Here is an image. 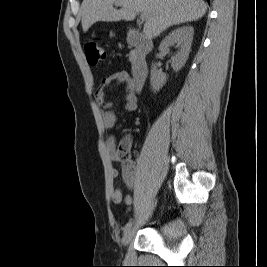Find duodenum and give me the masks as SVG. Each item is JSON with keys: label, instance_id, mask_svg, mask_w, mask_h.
I'll list each match as a JSON object with an SVG mask.
<instances>
[{"label": "duodenum", "instance_id": "obj_1", "mask_svg": "<svg viewBox=\"0 0 267 267\" xmlns=\"http://www.w3.org/2000/svg\"><path fill=\"white\" fill-rule=\"evenodd\" d=\"M127 43L134 48L135 57L132 61L131 72L137 91L141 90L148 76L146 55L152 50V42L136 29H129Z\"/></svg>", "mask_w": 267, "mask_h": 267}]
</instances>
